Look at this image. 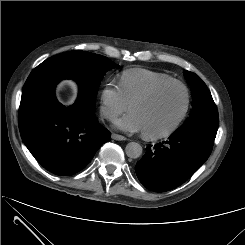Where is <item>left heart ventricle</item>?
Listing matches in <instances>:
<instances>
[{"instance_id":"1","label":"left heart ventricle","mask_w":245,"mask_h":245,"mask_svg":"<svg viewBox=\"0 0 245 245\" xmlns=\"http://www.w3.org/2000/svg\"><path fill=\"white\" fill-rule=\"evenodd\" d=\"M184 104L183 89L179 86H168L150 100L134 105L130 112L139 118L144 132L159 133L175 123Z\"/></svg>"}]
</instances>
